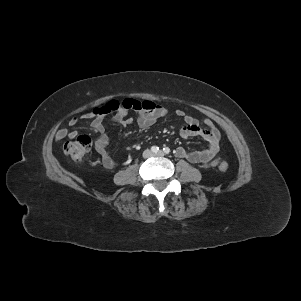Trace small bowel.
<instances>
[{"mask_svg":"<svg viewBox=\"0 0 301 301\" xmlns=\"http://www.w3.org/2000/svg\"><path fill=\"white\" fill-rule=\"evenodd\" d=\"M124 106L115 112L111 119L121 125L129 126L134 123V119L128 117L129 111L136 112V122L141 128H149L159 119L168 115V110L162 105L152 101H137L126 99L123 101ZM95 109L84 114L80 118L74 117L69 121V126L75 127L81 120L92 119L91 126L98 134L95 140V150L101 158L104 167L111 169L117 163L108 151L109 138L105 133V116L107 113H96ZM176 115L183 119L185 125L180 130L182 138L198 136L207 142L208 148L204 150H187L183 147L176 149V155L179 158L186 159L191 163H197L205 168L214 167L218 163L216 155L220 149V133L210 119L204 121L202 127L198 120L187 115L183 110H176ZM77 136V131H69L66 128L59 129L56 133V139L61 140L66 137L73 139Z\"/></svg>","mask_w":301,"mask_h":301,"instance_id":"c3829d8e","label":"small bowel"}]
</instances>
